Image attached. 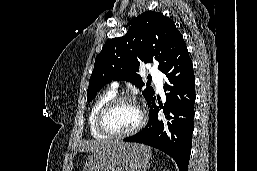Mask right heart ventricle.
<instances>
[{
    "label": "right heart ventricle",
    "instance_id": "e07e8e85",
    "mask_svg": "<svg viewBox=\"0 0 257 171\" xmlns=\"http://www.w3.org/2000/svg\"><path fill=\"white\" fill-rule=\"evenodd\" d=\"M116 96V91L113 89H109L101 93L97 96L95 101L93 102L91 109L88 115V125L90 134L92 137L97 139H106L108 138L106 135L102 134L96 127V118L100 108L111 98Z\"/></svg>",
    "mask_w": 257,
    "mask_h": 171
}]
</instances>
